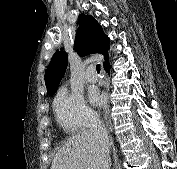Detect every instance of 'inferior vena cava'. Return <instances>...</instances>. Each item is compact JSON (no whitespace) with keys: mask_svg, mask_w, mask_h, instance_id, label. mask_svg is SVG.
Returning <instances> with one entry per match:
<instances>
[{"mask_svg":"<svg viewBox=\"0 0 177 169\" xmlns=\"http://www.w3.org/2000/svg\"><path fill=\"white\" fill-rule=\"evenodd\" d=\"M90 132L98 139L102 147L103 157L101 169H110L109 136L107 130L97 116L91 120Z\"/></svg>","mask_w":177,"mask_h":169,"instance_id":"inferior-vena-cava-1","label":"inferior vena cava"}]
</instances>
